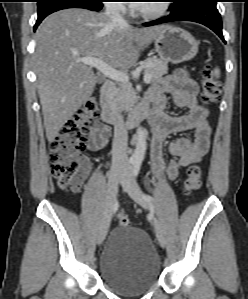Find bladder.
Segmentation results:
<instances>
[{"label":"bladder","instance_id":"1","mask_svg":"<svg viewBox=\"0 0 248 299\" xmlns=\"http://www.w3.org/2000/svg\"><path fill=\"white\" fill-rule=\"evenodd\" d=\"M102 280L125 295L146 292L161 273V263L150 236L135 226L115 228L99 260Z\"/></svg>","mask_w":248,"mask_h":299}]
</instances>
